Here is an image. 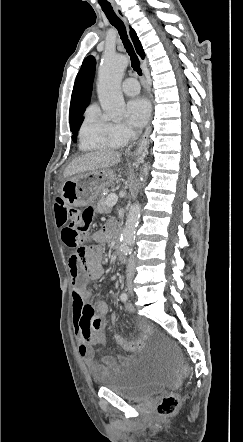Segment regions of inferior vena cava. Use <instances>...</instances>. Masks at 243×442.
<instances>
[{
	"mask_svg": "<svg viewBox=\"0 0 243 442\" xmlns=\"http://www.w3.org/2000/svg\"><path fill=\"white\" fill-rule=\"evenodd\" d=\"M136 138V137H135ZM135 268H136V258L135 254H132L129 258L128 265H127V278L132 279L135 274Z\"/></svg>",
	"mask_w": 243,
	"mask_h": 442,
	"instance_id": "1",
	"label": "inferior vena cava"
}]
</instances>
